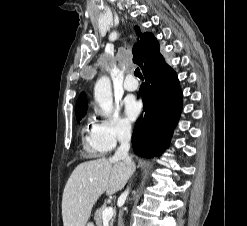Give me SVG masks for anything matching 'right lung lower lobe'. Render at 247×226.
I'll use <instances>...</instances> for the list:
<instances>
[{"label": "right lung lower lobe", "mask_w": 247, "mask_h": 226, "mask_svg": "<svg viewBox=\"0 0 247 226\" xmlns=\"http://www.w3.org/2000/svg\"><path fill=\"white\" fill-rule=\"evenodd\" d=\"M160 46L149 51L143 69L146 84L140 87L143 113L132 137L134 152L159 156L167 148L181 113L182 92L176 73L165 62Z\"/></svg>", "instance_id": "1"}]
</instances>
